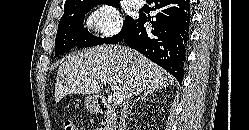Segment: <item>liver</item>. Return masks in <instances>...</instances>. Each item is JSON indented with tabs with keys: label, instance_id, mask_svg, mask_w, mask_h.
<instances>
[{
	"label": "liver",
	"instance_id": "1",
	"mask_svg": "<svg viewBox=\"0 0 249 130\" xmlns=\"http://www.w3.org/2000/svg\"><path fill=\"white\" fill-rule=\"evenodd\" d=\"M115 79L124 103L132 95L168 87L174 77L142 54L123 46H96L66 57L57 71L55 101L67 94H98Z\"/></svg>",
	"mask_w": 249,
	"mask_h": 130
}]
</instances>
